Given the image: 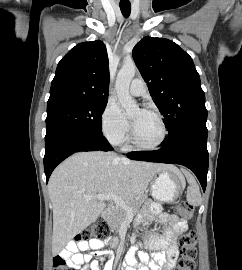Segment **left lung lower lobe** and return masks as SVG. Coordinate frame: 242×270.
I'll use <instances>...</instances> for the list:
<instances>
[{
	"mask_svg": "<svg viewBox=\"0 0 242 270\" xmlns=\"http://www.w3.org/2000/svg\"><path fill=\"white\" fill-rule=\"evenodd\" d=\"M163 143L159 150L130 152L127 157L133 160L186 166L195 173L205 191L208 172L206 124L186 126L166 138Z\"/></svg>",
	"mask_w": 242,
	"mask_h": 270,
	"instance_id": "0a47b994",
	"label": "left lung lower lobe"
}]
</instances>
